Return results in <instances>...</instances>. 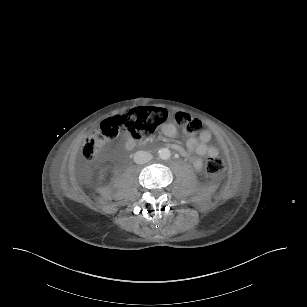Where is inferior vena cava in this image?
<instances>
[{
  "mask_svg": "<svg viewBox=\"0 0 307 307\" xmlns=\"http://www.w3.org/2000/svg\"><path fill=\"white\" fill-rule=\"evenodd\" d=\"M152 160V154L147 151H137L134 154V162L136 164H145Z\"/></svg>",
  "mask_w": 307,
  "mask_h": 307,
  "instance_id": "1",
  "label": "inferior vena cava"
}]
</instances>
